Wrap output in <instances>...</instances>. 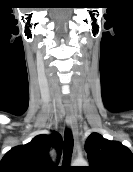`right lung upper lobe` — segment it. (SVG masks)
Returning a JSON list of instances; mask_svg holds the SVG:
<instances>
[{
	"label": "right lung upper lobe",
	"instance_id": "cb5924a9",
	"mask_svg": "<svg viewBox=\"0 0 133 172\" xmlns=\"http://www.w3.org/2000/svg\"><path fill=\"white\" fill-rule=\"evenodd\" d=\"M62 151V138L53 135H38L31 142L13 147L0 161V172H55L56 167L49 156L50 147Z\"/></svg>",
	"mask_w": 133,
	"mask_h": 172
}]
</instances>
